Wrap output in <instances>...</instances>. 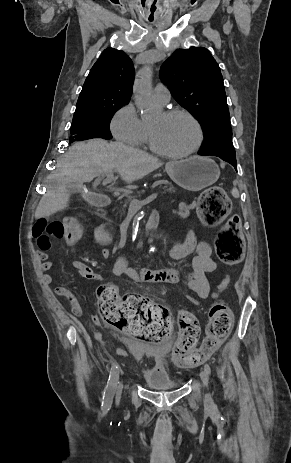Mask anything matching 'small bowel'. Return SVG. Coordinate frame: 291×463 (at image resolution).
<instances>
[{
	"mask_svg": "<svg viewBox=\"0 0 291 463\" xmlns=\"http://www.w3.org/2000/svg\"><path fill=\"white\" fill-rule=\"evenodd\" d=\"M35 239L39 249L38 258L42 261L40 268L43 272V281L46 284H50L53 281L52 275L48 273L53 267V262L49 260L51 242L49 237L45 235L35 236ZM76 240L77 239L67 240V244L72 246L75 244ZM111 241L112 236L104 225H100L94 230L93 243L97 247H101L100 253L105 259L110 257L107 245H109ZM194 251L195 256L191 261L190 269L188 271H186L185 266L182 264L163 270H136L128 267L126 258L124 256H120L115 262L114 273L117 276H125L133 281L148 283L176 284L184 278V285L189 292L204 299L216 298L228 286L230 276L225 270H223L224 276L219 283L218 290H211L207 274L217 270L219 266L213 260L212 249L207 242H197L195 231L193 229H189L186 232L183 242L173 245L169 250V254L174 259L181 260L188 257ZM72 253H75L74 249H72ZM72 265L81 277L88 280H98V276L93 268L83 261L74 259L72 261ZM53 291L57 296L63 297L69 302L71 310L76 316L82 317L85 315L84 309L82 308L79 300L68 288L64 286H56ZM98 325V318L93 317L90 322V326L94 332L95 338L102 342V334L96 329Z\"/></svg>",
	"mask_w": 291,
	"mask_h": 463,
	"instance_id": "1",
	"label": "small bowel"
}]
</instances>
